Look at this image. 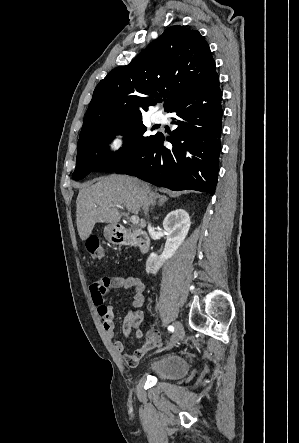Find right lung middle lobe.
<instances>
[{
	"label": "right lung middle lobe",
	"mask_w": 299,
	"mask_h": 443,
	"mask_svg": "<svg viewBox=\"0 0 299 443\" xmlns=\"http://www.w3.org/2000/svg\"><path fill=\"white\" fill-rule=\"evenodd\" d=\"M146 127L142 118L109 124L93 130L78 140L74 180H80L93 171L116 172L142 155L156 135L144 136ZM125 138V146L112 153L108 144L115 135Z\"/></svg>",
	"instance_id": "right-lung-middle-lobe-1"
}]
</instances>
